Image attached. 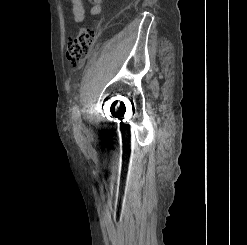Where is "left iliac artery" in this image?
Instances as JSON below:
<instances>
[{"label": "left iliac artery", "mask_w": 247, "mask_h": 245, "mask_svg": "<svg viewBox=\"0 0 247 245\" xmlns=\"http://www.w3.org/2000/svg\"><path fill=\"white\" fill-rule=\"evenodd\" d=\"M73 120L76 127H80L82 120L80 110L77 105H75L73 108Z\"/></svg>", "instance_id": "left-iliac-artery-1"}]
</instances>
